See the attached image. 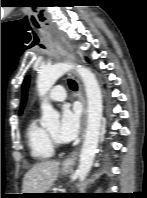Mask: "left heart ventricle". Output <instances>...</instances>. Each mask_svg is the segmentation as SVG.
<instances>
[{
    "mask_svg": "<svg viewBox=\"0 0 147 198\" xmlns=\"http://www.w3.org/2000/svg\"><path fill=\"white\" fill-rule=\"evenodd\" d=\"M57 125L49 127L47 130L56 138ZM57 139V138H56Z\"/></svg>",
    "mask_w": 147,
    "mask_h": 198,
    "instance_id": "b2bd125f",
    "label": "left heart ventricle"
}]
</instances>
